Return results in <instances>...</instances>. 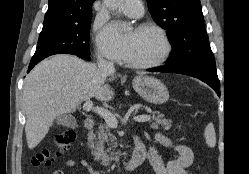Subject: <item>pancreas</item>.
Instances as JSON below:
<instances>
[{"instance_id":"cf45deb5","label":"pancreas","mask_w":249,"mask_h":174,"mask_svg":"<svg viewBox=\"0 0 249 174\" xmlns=\"http://www.w3.org/2000/svg\"><path fill=\"white\" fill-rule=\"evenodd\" d=\"M152 118V128L158 129L161 127L165 130L171 128V120L164 118V115L154 112ZM94 140L95 144H92L91 148L96 160H100L101 164L104 166H108L112 161L118 160V156H116V153L114 152V149L117 146L116 137L111 133L107 125L99 126L97 137L94 136ZM105 144H107V148L105 147Z\"/></svg>"}]
</instances>
